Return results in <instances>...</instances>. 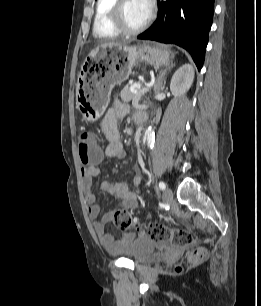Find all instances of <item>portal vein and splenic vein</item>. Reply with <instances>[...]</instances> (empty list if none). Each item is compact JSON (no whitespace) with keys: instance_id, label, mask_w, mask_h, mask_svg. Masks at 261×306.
I'll list each match as a JSON object with an SVG mask.
<instances>
[{"instance_id":"1","label":"portal vein and splenic vein","mask_w":261,"mask_h":306,"mask_svg":"<svg viewBox=\"0 0 261 306\" xmlns=\"http://www.w3.org/2000/svg\"><path fill=\"white\" fill-rule=\"evenodd\" d=\"M152 85H153V83L147 84L146 87H144V88L142 89V93H146L147 91H149V89H150V87H151ZM138 88L140 89V88H141V85H138ZM139 99H140L139 96L135 97V98L133 99V101H132V105H133V106H137V105H138V102H139Z\"/></svg>"}]
</instances>
